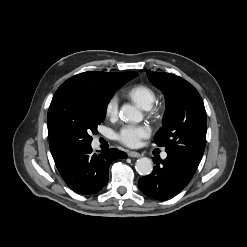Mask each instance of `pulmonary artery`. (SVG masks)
I'll use <instances>...</instances> for the list:
<instances>
[{
    "label": "pulmonary artery",
    "instance_id": "e3ab8cb5",
    "mask_svg": "<svg viewBox=\"0 0 247 247\" xmlns=\"http://www.w3.org/2000/svg\"><path fill=\"white\" fill-rule=\"evenodd\" d=\"M161 157H162L163 159H165V158L167 157V153H166V152H163L162 155H161Z\"/></svg>",
    "mask_w": 247,
    "mask_h": 247
}]
</instances>
